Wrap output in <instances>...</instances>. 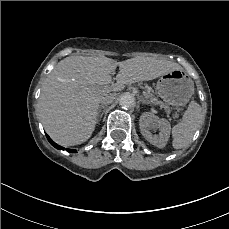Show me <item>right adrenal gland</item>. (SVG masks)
<instances>
[{
	"mask_svg": "<svg viewBox=\"0 0 229 229\" xmlns=\"http://www.w3.org/2000/svg\"><path fill=\"white\" fill-rule=\"evenodd\" d=\"M106 108H107L106 106L99 107L98 112H97V124H99L101 122V118H102Z\"/></svg>",
	"mask_w": 229,
	"mask_h": 229,
	"instance_id": "right-adrenal-gland-1",
	"label": "right adrenal gland"
}]
</instances>
